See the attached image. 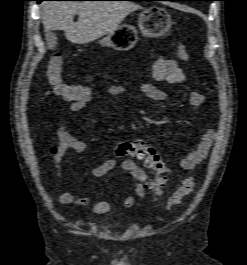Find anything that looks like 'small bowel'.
<instances>
[{
	"label": "small bowel",
	"instance_id": "small-bowel-1",
	"mask_svg": "<svg viewBox=\"0 0 247 265\" xmlns=\"http://www.w3.org/2000/svg\"><path fill=\"white\" fill-rule=\"evenodd\" d=\"M152 75L156 81L167 82L169 84H182L187 81V76L184 71L179 67L178 63L174 59H165L159 57L152 65ZM127 90L125 85H110L106 89V95L109 97H116L123 94ZM139 90L147 98L164 102L167 100V93L152 83H142ZM187 100L194 107H201L206 101V97L193 90L187 92ZM88 104L83 102H73L69 106L71 113L79 112L83 110ZM57 137L59 143L53 145L50 149V153L53 155L56 162H59L65 154L72 150L77 153H81L86 150V143L81 139L74 136L67 130V122L64 121L57 131ZM146 138L150 141H157V138L153 134H147ZM216 133L213 129L209 128L204 133L199 142L195 145L194 149L188 152L180 162V167L184 171L193 170L198 164L204 161L215 141ZM146 142L145 140H138ZM118 162L114 158H109L94 167L91 171L92 176L102 177L110 173L117 166ZM122 170L127 172L134 179V193L126 195L124 199V206L131 207L135 203V197L144 198L150 176L134 161L127 159L120 164ZM60 173H57V182H60ZM94 198L92 196H84L77 198L73 192H64L59 195V202L61 204H72L76 206H87L93 203ZM110 210V203L105 200H98L92 204L91 211L94 214H104Z\"/></svg>",
	"mask_w": 247,
	"mask_h": 265
}]
</instances>
